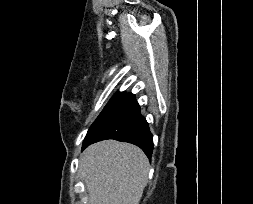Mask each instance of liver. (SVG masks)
<instances>
[{"mask_svg": "<svg viewBox=\"0 0 253 204\" xmlns=\"http://www.w3.org/2000/svg\"><path fill=\"white\" fill-rule=\"evenodd\" d=\"M79 169L89 194L88 204H139L149 161L135 145L106 140L83 152Z\"/></svg>", "mask_w": 253, "mask_h": 204, "instance_id": "liver-1", "label": "liver"}]
</instances>
